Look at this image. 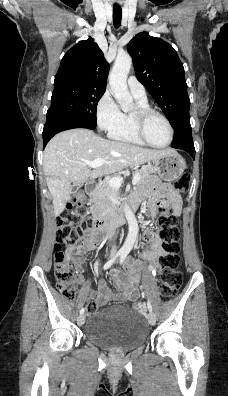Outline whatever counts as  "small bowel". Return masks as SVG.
I'll list each match as a JSON object with an SVG mask.
<instances>
[{
  "label": "small bowel",
  "instance_id": "c3829d8e",
  "mask_svg": "<svg viewBox=\"0 0 228 396\" xmlns=\"http://www.w3.org/2000/svg\"><path fill=\"white\" fill-rule=\"evenodd\" d=\"M151 193L150 208L153 211L155 204L154 201H158L163 198H168L173 206V211L175 216H179L181 213V198L180 196L172 191L171 186L168 184L152 183L148 188ZM131 201L135 204L140 203L141 195H136L132 197ZM144 238L147 241L152 242V247L149 250L144 251L141 254V258L149 262L150 267L153 270L159 269L158 259L162 255L163 251L161 248V239L153 231L147 230L144 233ZM98 245V232L94 228L86 229L83 237L79 242L70 246L66 249V257L72 261L78 270H83L84 260L83 255L89 251L94 250ZM110 277L114 283L116 291H112L107 286L105 280L99 279L97 283V290L91 291V297L97 300L101 304H106L110 301H132L136 302L139 298V291L137 285L139 283V273L133 267L130 269L126 275L121 274L117 270L110 271ZM79 281L84 282L83 276H79ZM135 308L143 311L142 303H135Z\"/></svg>",
  "mask_w": 228,
  "mask_h": 396
}]
</instances>
